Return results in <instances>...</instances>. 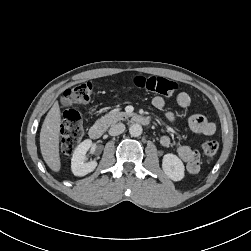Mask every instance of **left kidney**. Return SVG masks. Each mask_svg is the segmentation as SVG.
<instances>
[{
  "label": "left kidney",
  "instance_id": "obj_1",
  "mask_svg": "<svg viewBox=\"0 0 251 251\" xmlns=\"http://www.w3.org/2000/svg\"><path fill=\"white\" fill-rule=\"evenodd\" d=\"M162 169L164 173L173 181H180L184 178V164L174 154H165L162 160Z\"/></svg>",
  "mask_w": 251,
  "mask_h": 251
}]
</instances>
